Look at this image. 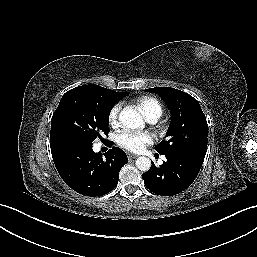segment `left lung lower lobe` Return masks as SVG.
<instances>
[{"label": "left lung lower lobe", "mask_w": 257, "mask_h": 257, "mask_svg": "<svg viewBox=\"0 0 257 257\" xmlns=\"http://www.w3.org/2000/svg\"><path fill=\"white\" fill-rule=\"evenodd\" d=\"M160 167L152 164L142 175L146 187L155 194L171 196L187 189L197 177L204 158L188 153L164 154Z\"/></svg>", "instance_id": "1"}]
</instances>
